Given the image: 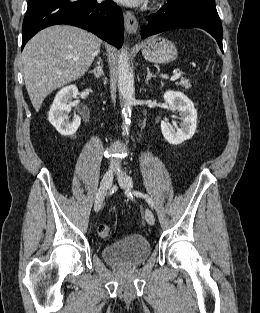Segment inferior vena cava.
I'll return each mask as SVG.
<instances>
[{
    "label": "inferior vena cava",
    "instance_id": "obj_1",
    "mask_svg": "<svg viewBox=\"0 0 260 313\" xmlns=\"http://www.w3.org/2000/svg\"><path fill=\"white\" fill-rule=\"evenodd\" d=\"M114 165H115V163L112 161V162H111V166L113 167Z\"/></svg>",
    "mask_w": 260,
    "mask_h": 313
}]
</instances>
